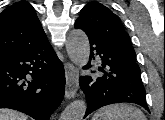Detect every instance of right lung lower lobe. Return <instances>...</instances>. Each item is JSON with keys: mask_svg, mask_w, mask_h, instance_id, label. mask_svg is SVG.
<instances>
[{"mask_svg": "<svg viewBox=\"0 0 165 120\" xmlns=\"http://www.w3.org/2000/svg\"><path fill=\"white\" fill-rule=\"evenodd\" d=\"M64 92V67L47 38L0 55V108L48 120Z\"/></svg>", "mask_w": 165, "mask_h": 120, "instance_id": "obj_1", "label": "right lung lower lobe"}]
</instances>
